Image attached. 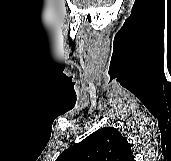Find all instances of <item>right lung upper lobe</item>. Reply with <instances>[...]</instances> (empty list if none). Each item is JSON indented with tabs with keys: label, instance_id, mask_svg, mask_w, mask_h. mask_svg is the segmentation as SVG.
Returning <instances> with one entry per match:
<instances>
[{
	"label": "right lung upper lobe",
	"instance_id": "1",
	"mask_svg": "<svg viewBox=\"0 0 171 161\" xmlns=\"http://www.w3.org/2000/svg\"><path fill=\"white\" fill-rule=\"evenodd\" d=\"M56 161H135L131 146L113 127H105L65 150Z\"/></svg>",
	"mask_w": 171,
	"mask_h": 161
}]
</instances>
